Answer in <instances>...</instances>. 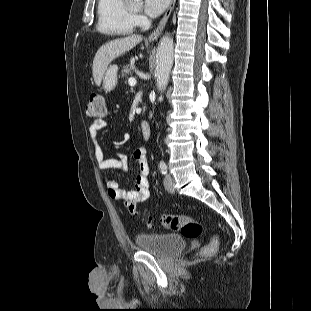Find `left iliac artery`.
Wrapping results in <instances>:
<instances>
[{
    "mask_svg": "<svg viewBox=\"0 0 311 311\" xmlns=\"http://www.w3.org/2000/svg\"><path fill=\"white\" fill-rule=\"evenodd\" d=\"M159 169H160L162 174H166L167 173V165H166V163L164 161H160Z\"/></svg>",
    "mask_w": 311,
    "mask_h": 311,
    "instance_id": "44dca946",
    "label": "left iliac artery"
}]
</instances>
